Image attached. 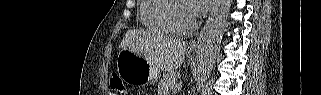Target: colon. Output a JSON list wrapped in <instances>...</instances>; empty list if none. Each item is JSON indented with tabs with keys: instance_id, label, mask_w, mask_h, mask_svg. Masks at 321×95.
Masks as SVG:
<instances>
[{
	"instance_id": "1",
	"label": "colon",
	"mask_w": 321,
	"mask_h": 95,
	"mask_svg": "<svg viewBox=\"0 0 321 95\" xmlns=\"http://www.w3.org/2000/svg\"><path fill=\"white\" fill-rule=\"evenodd\" d=\"M110 87L112 91L119 95H127V88L117 74H113L110 78Z\"/></svg>"
}]
</instances>
